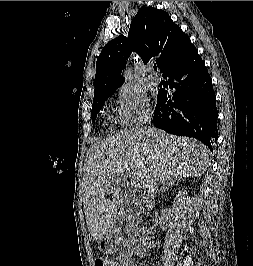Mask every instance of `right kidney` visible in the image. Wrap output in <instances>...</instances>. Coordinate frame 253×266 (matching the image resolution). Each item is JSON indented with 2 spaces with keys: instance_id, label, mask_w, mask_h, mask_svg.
<instances>
[{
  "instance_id": "right-kidney-1",
  "label": "right kidney",
  "mask_w": 253,
  "mask_h": 266,
  "mask_svg": "<svg viewBox=\"0 0 253 266\" xmlns=\"http://www.w3.org/2000/svg\"><path fill=\"white\" fill-rule=\"evenodd\" d=\"M135 236L136 245L134 246V250L136 251V254L143 255L146 250L154 247L156 244H159V242H156V244L151 242L150 232L148 229L138 228Z\"/></svg>"
}]
</instances>
